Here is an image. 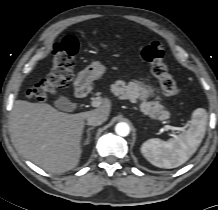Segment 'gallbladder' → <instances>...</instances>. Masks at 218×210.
Returning a JSON list of instances; mask_svg holds the SVG:
<instances>
[{
	"mask_svg": "<svg viewBox=\"0 0 218 210\" xmlns=\"http://www.w3.org/2000/svg\"><path fill=\"white\" fill-rule=\"evenodd\" d=\"M64 101H66V99H65L64 97L58 98V99L55 101V106H56L57 108L63 110L64 108H63V106H62V103H63ZM67 110H69V109H67Z\"/></svg>",
	"mask_w": 218,
	"mask_h": 210,
	"instance_id": "bac80fb5",
	"label": "gallbladder"
}]
</instances>
